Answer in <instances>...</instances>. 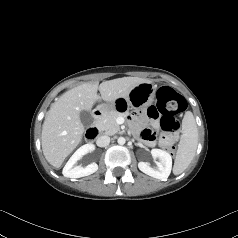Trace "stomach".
Instances as JSON below:
<instances>
[{
	"mask_svg": "<svg viewBox=\"0 0 238 238\" xmlns=\"http://www.w3.org/2000/svg\"><path fill=\"white\" fill-rule=\"evenodd\" d=\"M155 97V86L151 82L141 83L135 86L129 95L123 94L116 98L114 102H108L97 106L96 110L103 114H108L112 110L126 115L133 109H143L150 106Z\"/></svg>",
	"mask_w": 238,
	"mask_h": 238,
	"instance_id": "obj_1",
	"label": "stomach"
}]
</instances>
